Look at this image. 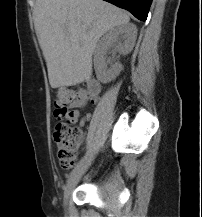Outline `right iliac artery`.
<instances>
[{
	"instance_id": "82829eb1",
	"label": "right iliac artery",
	"mask_w": 202,
	"mask_h": 217,
	"mask_svg": "<svg viewBox=\"0 0 202 217\" xmlns=\"http://www.w3.org/2000/svg\"><path fill=\"white\" fill-rule=\"evenodd\" d=\"M88 157V154H86L81 161L78 163V165L71 171V173L68 176L67 183L71 180V178L74 176V174L84 165Z\"/></svg>"
}]
</instances>
